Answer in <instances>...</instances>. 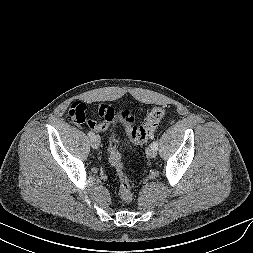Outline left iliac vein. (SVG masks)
<instances>
[{
  "instance_id": "1",
  "label": "left iliac vein",
  "mask_w": 253,
  "mask_h": 253,
  "mask_svg": "<svg viewBox=\"0 0 253 253\" xmlns=\"http://www.w3.org/2000/svg\"><path fill=\"white\" fill-rule=\"evenodd\" d=\"M146 154L149 158H154L157 155V149L150 146L146 149Z\"/></svg>"
}]
</instances>
